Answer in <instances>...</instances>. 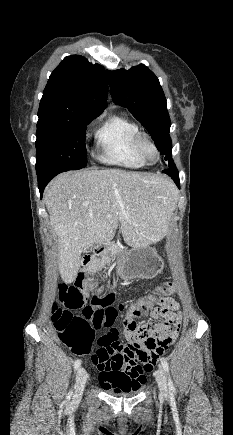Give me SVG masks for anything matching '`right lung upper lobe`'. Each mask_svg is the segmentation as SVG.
<instances>
[{
	"mask_svg": "<svg viewBox=\"0 0 233 435\" xmlns=\"http://www.w3.org/2000/svg\"><path fill=\"white\" fill-rule=\"evenodd\" d=\"M105 69L80 55L66 57L52 72L39 105V118L98 116L106 108Z\"/></svg>",
	"mask_w": 233,
	"mask_h": 435,
	"instance_id": "right-lung-upper-lobe-1",
	"label": "right lung upper lobe"
}]
</instances>
